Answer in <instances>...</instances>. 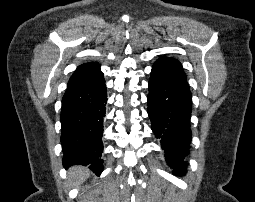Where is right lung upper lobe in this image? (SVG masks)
<instances>
[{"instance_id":"obj_1","label":"right lung upper lobe","mask_w":255,"mask_h":202,"mask_svg":"<svg viewBox=\"0 0 255 202\" xmlns=\"http://www.w3.org/2000/svg\"><path fill=\"white\" fill-rule=\"evenodd\" d=\"M103 77L98 63H85L80 65L74 74L71 76L68 87H75L80 85L95 82Z\"/></svg>"}]
</instances>
